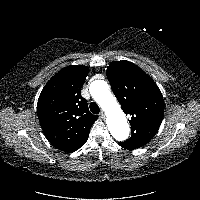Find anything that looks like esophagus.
<instances>
[{
	"mask_svg": "<svg viewBox=\"0 0 200 200\" xmlns=\"http://www.w3.org/2000/svg\"><path fill=\"white\" fill-rule=\"evenodd\" d=\"M99 116H100V118L104 119L105 118V113L102 111V112H100Z\"/></svg>",
	"mask_w": 200,
	"mask_h": 200,
	"instance_id": "34e87169",
	"label": "esophagus"
}]
</instances>
